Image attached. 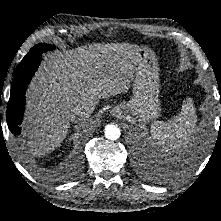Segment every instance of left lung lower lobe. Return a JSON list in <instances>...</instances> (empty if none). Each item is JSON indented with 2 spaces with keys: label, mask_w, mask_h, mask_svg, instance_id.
Segmentation results:
<instances>
[{
  "label": "left lung lower lobe",
  "mask_w": 221,
  "mask_h": 221,
  "mask_svg": "<svg viewBox=\"0 0 221 221\" xmlns=\"http://www.w3.org/2000/svg\"><path fill=\"white\" fill-rule=\"evenodd\" d=\"M185 160H186V154L182 155V157L180 159H178V161L174 164L176 169L181 167L183 165V163L185 162ZM156 171H158V170H156Z\"/></svg>",
  "instance_id": "left-lung-lower-lobe-1"
}]
</instances>
